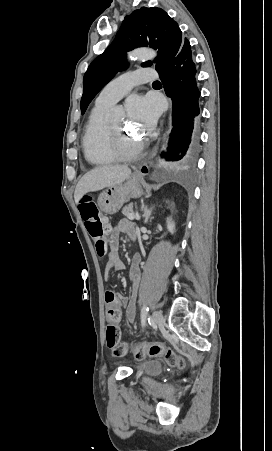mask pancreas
Returning a JSON list of instances; mask_svg holds the SVG:
<instances>
[{"label": "pancreas", "mask_w": 272, "mask_h": 451, "mask_svg": "<svg viewBox=\"0 0 272 451\" xmlns=\"http://www.w3.org/2000/svg\"><path fill=\"white\" fill-rule=\"evenodd\" d=\"M133 212V204H128V206H125V208H123L122 210V214H124V216H129V214H132Z\"/></svg>", "instance_id": "1"}]
</instances>
